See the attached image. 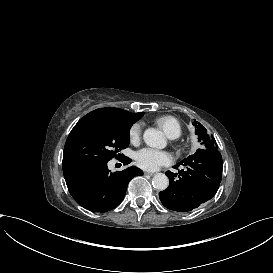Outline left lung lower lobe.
I'll return each instance as SVG.
<instances>
[{
	"instance_id": "1",
	"label": "left lung lower lobe",
	"mask_w": 273,
	"mask_h": 273,
	"mask_svg": "<svg viewBox=\"0 0 273 273\" xmlns=\"http://www.w3.org/2000/svg\"><path fill=\"white\" fill-rule=\"evenodd\" d=\"M183 165L185 170L173 174L168 188L159 192L162 204L174 211L187 212L211 199L219 188L222 177V157L218 150L198 149L174 168Z\"/></svg>"
}]
</instances>
